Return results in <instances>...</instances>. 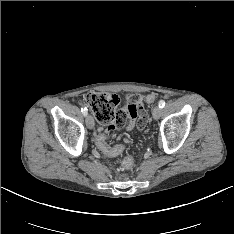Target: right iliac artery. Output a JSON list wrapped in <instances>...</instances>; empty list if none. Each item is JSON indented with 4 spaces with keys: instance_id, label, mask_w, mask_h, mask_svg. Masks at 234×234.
Returning <instances> with one entry per match:
<instances>
[{
    "instance_id": "1",
    "label": "right iliac artery",
    "mask_w": 234,
    "mask_h": 234,
    "mask_svg": "<svg viewBox=\"0 0 234 234\" xmlns=\"http://www.w3.org/2000/svg\"><path fill=\"white\" fill-rule=\"evenodd\" d=\"M81 111L85 116L87 115V108L86 107H82Z\"/></svg>"
}]
</instances>
